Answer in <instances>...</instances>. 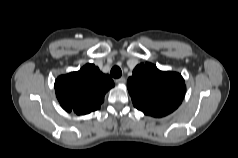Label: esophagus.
<instances>
[{"label": "esophagus", "instance_id": "34e87169", "mask_svg": "<svg viewBox=\"0 0 238 158\" xmlns=\"http://www.w3.org/2000/svg\"><path fill=\"white\" fill-rule=\"evenodd\" d=\"M117 84H124L126 82V79L124 77H120L115 80Z\"/></svg>", "mask_w": 238, "mask_h": 158}]
</instances>
